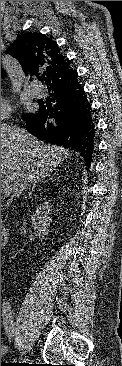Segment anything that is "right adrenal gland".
Instances as JSON below:
<instances>
[{"mask_svg": "<svg viewBox=\"0 0 122 366\" xmlns=\"http://www.w3.org/2000/svg\"><path fill=\"white\" fill-rule=\"evenodd\" d=\"M44 179H45V178H43V179H41V180H39V181L35 182V183L33 184L32 191H34V188L36 187V184H37L38 182H43V181H44ZM32 191H30V192H29V197L31 196Z\"/></svg>", "mask_w": 122, "mask_h": 366, "instance_id": "right-adrenal-gland-1", "label": "right adrenal gland"}]
</instances>
